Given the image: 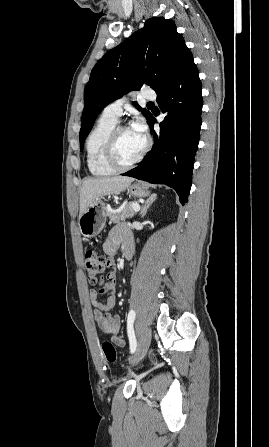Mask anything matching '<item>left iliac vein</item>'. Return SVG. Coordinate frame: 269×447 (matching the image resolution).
Returning <instances> with one entry per match:
<instances>
[{"mask_svg": "<svg viewBox=\"0 0 269 447\" xmlns=\"http://www.w3.org/2000/svg\"><path fill=\"white\" fill-rule=\"evenodd\" d=\"M151 338H152L151 329L149 326H146L145 328H143L140 334L136 353L129 359L130 365L137 364L145 356L148 347L150 345Z\"/></svg>", "mask_w": 269, "mask_h": 447, "instance_id": "4c4485c4", "label": "left iliac vein"}]
</instances>
